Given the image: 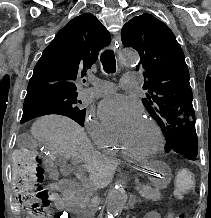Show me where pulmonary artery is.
Instances as JSON below:
<instances>
[{
  "instance_id": "obj_1",
  "label": "pulmonary artery",
  "mask_w": 211,
  "mask_h": 218,
  "mask_svg": "<svg viewBox=\"0 0 211 218\" xmlns=\"http://www.w3.org/2000/svg\"><path fill=\"white\" fill-rule=\"evenodd\" d=\"M123 79L119 83V86L122 87L123 91H130L131 87H135L136 85L142 84V75L132 72L123 76ZM90 83L92 87L85 88L83 90V95L86 97H102L111 94L115 91L116 86L110 81L101 80L98 78H91Z\"/></svg>"
}]
</instances>
